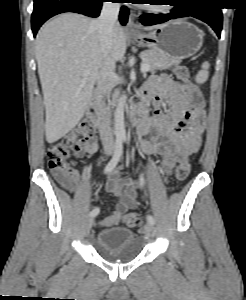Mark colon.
<instances>
[{
    "instance_id": "colon-1",
    "label": "colon",
    "mask_w": 246,
    "mask_h": 300,
    "mask_svg": "<svg viewBox=\"0 0 246 300\" xmlns=\"http://www.w3.org/2000/svg\"><path fill=\"white\" fill-rule=\"evenodd\" d=\"M176 77L185 84L195 108L203 107V97L200 90L191 82L190 73L185 65L174 68ZM93 135V127L87 120L81 121L61 142L51 146L47 152L48 168L58 177L75 178L76 171L71 164V157L81 153L88 145ZM191 171L189 160H182L176 167L174 179L180 183L187 179ZM123 223L127 226H138L142 223L141 217L136 213L123 215Z\"/></svg>"
}]
</instances>
